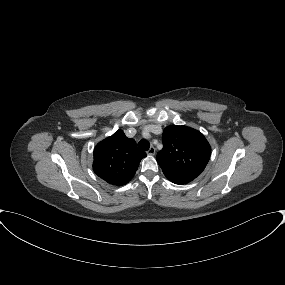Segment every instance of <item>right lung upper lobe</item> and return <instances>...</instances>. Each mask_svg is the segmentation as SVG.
Here are the masks:
<instances>
[{"instance_id": "right-lung-upper-lobe-1", "label": "right lung upper lobe", "mask_w": 285, "mask_h": 285, "mask_svg": "<svg viewBox=\"0 0 285 285\" xmlns=\"http://www.w3.org/2000/svg\"><path fill=\"white\" fill-rule=\"evenodd\" d=\"M144 157L146 153L137 149L135 140L117 130L96 145L93 170L107 183L122 186L133 178Z\"/></svg>"}]
</instances>
